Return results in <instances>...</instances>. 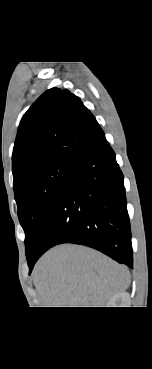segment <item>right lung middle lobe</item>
Masks as SVG:
<instances>
[{
  "label": "right lung middle lobe",
  "instance_id": "dd1d6c3e",
  "mask_svg": "<svg viewBox=\"0 0 152 369\" xmlns=\"http://www.w3.org/2000/svg\"><path fill=\"white\" fill-rule=\"evenodd\" d=\"M72 162L59 161L35 170L14 187L18 216L25 232L27 260L64 185Z\"/></svg>",
  "mask_w": 152,
  "mask_h": 369
}]
</instances>
